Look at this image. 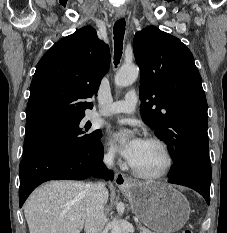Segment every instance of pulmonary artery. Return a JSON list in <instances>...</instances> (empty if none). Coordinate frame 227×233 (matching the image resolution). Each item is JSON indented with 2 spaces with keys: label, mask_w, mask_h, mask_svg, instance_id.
I'll use <instances>...</instances> for the list:
<instances>
[{
  "label": "pulmonary artery",
  "mask_w": 227,
  "mask_h": 233,
  "mask_svg": "<svg viewBox=\"0 0 227 233\" xmlns=\"http://www.w3.org/2000/svg\"><path fill=\"white\" fill-rule=\"evenodd\" d=\"M138 97L135 91H129L123 100L115 101L108 105L100 112L104 116H112L116 114H132L135 111Z\"/></svg>",
  "instance_id": "obj_1"
}]
</instances>
